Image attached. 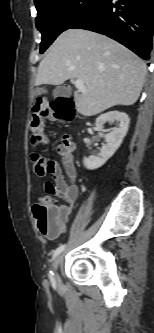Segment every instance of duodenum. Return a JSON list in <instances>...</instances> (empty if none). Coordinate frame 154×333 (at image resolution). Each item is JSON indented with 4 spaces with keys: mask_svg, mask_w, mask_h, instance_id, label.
Returning <instances> with one entry per match:
<instances>
[{
    "mask_svg": "<svg viewBox=\"0 0 154 333\" xmlns=\"http://www.w3.org/2000/svg\"><path fill=\"white\" fill-rule=\"evenodd\" d=\"M57 111L61 117L72 118L74 115L73 104L70 99L61 98L57 103Z\"/></svg>",
    "mask_w": 154,
    "mask_h": 333,
    "instance_id": "1",
    "label": "duodenum"
}]
</instances>
